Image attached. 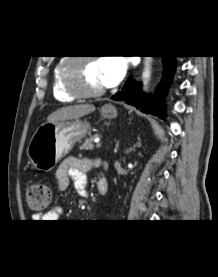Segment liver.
<instances>
[{
    "label": "liver",
    "instance_id": "liver-1",
    "mask_svg": "<svg viewBox=\"0 0 218 277\" xmlns=\"http://www.w3.org/2000/svg\"><path fill=\"white\" fill-rule=\"evenodd\" d=\"M95 111V106L92 104H81L73 106H65L48 116V122H59L78 119L91 112Z\"/></svg>",
    "mask_w": 218,
    "mask_h": 277
}]
</instances>
